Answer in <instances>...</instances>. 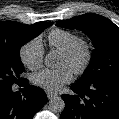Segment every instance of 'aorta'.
Listing matches in <instances>:
<instances>
[{
    "instance_id": "obj_1",
    "label": "aorta",
    "mask_w": 119,
    "mask_h": 119,
    "mask_svg": "<svg viewBox=\"0 0 119 119\" xmlns=\"http://www.w3.org/2000/svg\"><path fill=\"white\" fill-rule=\"evenodd\" d=\"M44 62L48 68H55L57 66L56 57L52 53H49L45 56ZM49 108L54 113H60L65 108V102L61 97L54 96L49 101Z\"/></svg>"
}]
</instances>
